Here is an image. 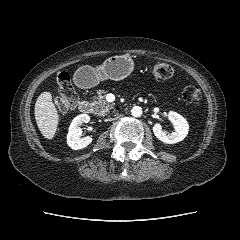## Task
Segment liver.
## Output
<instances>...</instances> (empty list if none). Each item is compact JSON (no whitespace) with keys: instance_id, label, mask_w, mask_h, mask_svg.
I'll return each instance as SVG.
<instances>
[{"instance_id":"1","label":"liver","mask_w":240,"mask_h":240,"mask_svg":"<svg viewBox=\"0 0 240 240\" xmlns=\"http://www.w3.org/2000/svg\"><path fill=\"white\" fill-rule=\"evenodd\" d=\"M34 114L41 134L46 139H52L57 131L59 115L50 92H43L38 96Z\"/></svg>"}]
</instances>
